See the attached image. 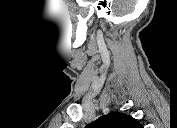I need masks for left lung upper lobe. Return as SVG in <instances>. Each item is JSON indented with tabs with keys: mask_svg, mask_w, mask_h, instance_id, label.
I'll list each match as a JSON object with an SVG mask.
<instances>
[{
	"mask_svg": "<svg viewBox=\"0 0 177 128\" xmlns=\"http://www.w3.org/2000/svg\"><path fill=\"white\" fill-rule=\"evenodd\" d=\"M91 126L92 128H142L133 117L115 111L98 118Z\"/></svg>",
	"mask_w": 177,
	"mask_h": 128,
	"instance_id": "1",
	"label": "left lung upper lobe"
}]
</instances>
